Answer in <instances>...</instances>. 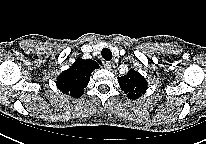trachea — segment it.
<instances>
[{
  "label": "trachea",
  "mask_w": 206,
  "mask_h": 144,
  "mask_svg": "<svg viewBox=\"0 0 206 144\" xmlns=\"http://www.w3.org/2000/svg\"><path fill=\"white\" fill-rule=\"evenodd\" d=\"M101 55L107 61H110L112 59V57H113L112 56V52L108 48H103L102 52H101Z\"/></svg>",
  "instance_id": "1"
}]
</instances>
